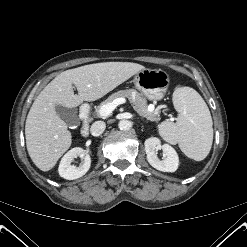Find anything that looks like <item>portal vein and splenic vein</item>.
<instances>
[{
  "mask_svg": "<svg viewBox=\"0 0 247 247\" xmlns=\"http://www.w3.org/2000/svg\"><path fill=\"white\" fill-rule=\"evenodd\" d=\"M126 102V99L124 97H120L112 101L111 103L102 105L99 109V115L102 117H108L113 110L120 104H124ZM154 107H151L150 111H153Z\"/></svg>",
  "mask_w": 247,
  "mask_h": 247,
  "instance_id": "portal-vein-and-splenic-vein-1",
  "label": "portal vein and splenic vein"
}]
</instances>
